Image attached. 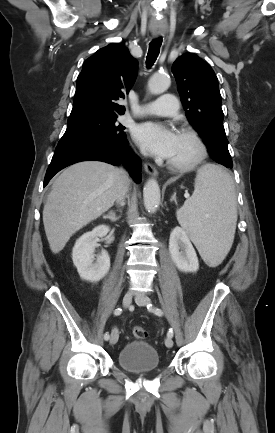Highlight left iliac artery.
Returning <instances> with one entry per match:
<instances>
[{"label":"left iliac artery","mask_w":275,"mask_h":433,"mask_svg":"<svg viewBox=\"0 0 275 433\" xmlns=\"http://www.w3.org/2000/svg\"><path fill=\"white\" fill-rule=\"evenodd\" d=\"M147 308H148L149 310L153 311V312H154L156 315H158V316H162V315H163L162 310L159 309V308L153 307L152 304L147 305ZM167 336H168V337H171V338L173 337V330H172V329H169V331H168V333H167Z\"/></svg>","instance_id":"44dca946"}]
</instances>
